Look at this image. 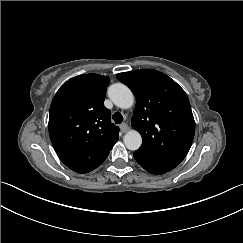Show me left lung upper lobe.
<instances>
[{"mask_svg": "<svg viewBox=\"0 0 243 243\" xmlns=\"http://www.w3.org/2000/svg\"><path fill=\"white\" fill-rule=\"evenodd\" d=\"M116 76L137 100L131 122L143 139L138 151L178 165L187 155L195 133L194 117L184 90L170 77L153 69Z\"/></svg>", "mask_w": 243, "mask_h": 243, "instance_id": "5c2ea615", "label": "left lung upper lobe"}]
</instances>
